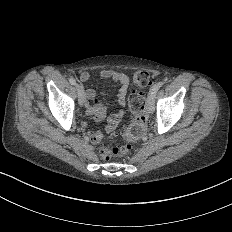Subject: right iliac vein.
<instances>
[{"instance_id":"obj_1","label":"right iliac vein","mask_w":232,"mask_h":232,"mask_svg":"<svg viewBox=\"0 0 232 232\" xmlns=\"http://www.w3.org/2000/svg\"><path fill=\"white\" fill-rule=\"evenodd\" d=\"M77 87H78V93H77L78 105H79V102H82V105H83V100H84V97H85L84 86L81 87L80 84H77ZM82 105H79V109H82Z\"/></svg>"}]
</instances>
